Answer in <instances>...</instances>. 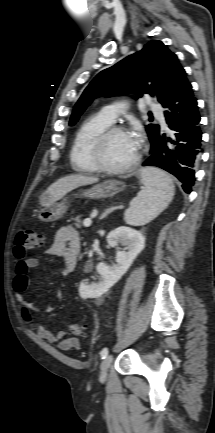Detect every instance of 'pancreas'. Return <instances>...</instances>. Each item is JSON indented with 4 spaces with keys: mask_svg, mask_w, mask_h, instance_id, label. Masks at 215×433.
Returning <instances> with one entry per match:
<instances>
[{
    "mask_svg": "<svg viewBox=\"0 0 215 433\" xmlns=\"http://www.w3.org/2000/svg\"><path fill=\"white\" fill-rule=\"evenodd\" d=\"M72 220L75 222L74 225L76 228L80 229L82 227L81 216H76L75 218H72Z\"/></svg>",
    "mask_w": 215,
    "mask_h": 433,
    "instance_id": "1",
    "label": "pancreas"
}]
</instances>
